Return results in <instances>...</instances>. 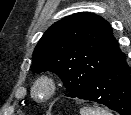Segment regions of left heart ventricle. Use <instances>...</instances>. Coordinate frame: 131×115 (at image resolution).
I'll return each instance as SVG.
<instances>
[{
    "label": "left heart ventricle",
    "instance_id": "b2bd125f",
    "mask_svg": "<svg viewBox=\"0 0 131 115\" xmlns=\"http://www.w3.org/2000/svg\"><path fill=\"white\" fill-rule=\"evenodd\" d=\"M45 92H46V89H45V87L43 85H41V86L38 87V96L39 97L44 96Z\"/></svg>",
    "mask_w": 131,
    "mask_h": 115
}]
</instances>
